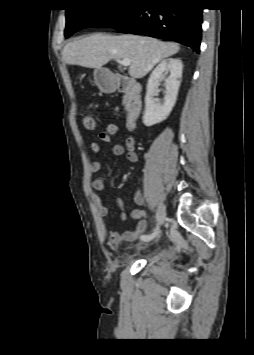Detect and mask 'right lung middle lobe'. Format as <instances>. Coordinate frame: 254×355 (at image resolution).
<instances>
[{"label":"right lung middle lobe","instance_id":"dd1d6c3e","mask_svg":"<svg viewBox=\"0 0 254 355\" xmlns=\"http://www.w3.org/2000/svg\"><path fill=\"white\" fill-rule=\"evenodd\" d=\"M144 1L145 0L101 1L90 3L88 7L82 9H66L65 37L68 38L83 28L108 27L131 5Z\"/></svg>","mask_w":254,"mask_h":355}]
</instances>
